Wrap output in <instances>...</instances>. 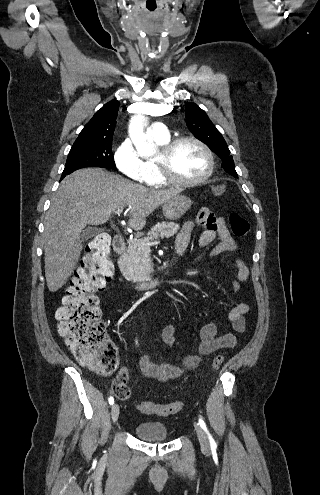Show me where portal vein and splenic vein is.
Returning a JSON list of instances; mask_svg holds the SVG:
<instances>
[{
	"label": "portal vein and splenic vein",
	"instance_id": "1",
	"mask_svg": "<svg viewBox=\"0 0 320 495\" xmlns=\"http://www.w3.org/2000/svg\"><path fill=\"white\" fill-rule=\"evenodd\" d=\"M123 211V209H118L117 211H115V214H117L118 216L120 215V213ZM159 241L157 242H153V243H142V245H146V246H151V245H154V244H158ZM147 251H150V249H146Z\"/></svg>",
	"mask_w": 320,
	"mask_h": 495
}]
</instances>
